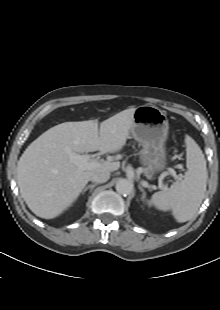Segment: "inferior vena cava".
I'll use <instances>...</instances> for the list:
<instances>
[{
    "label": "inferior vena cava",
    "mask_w": 220,
    "mask_h": 310,
    "mask_svg": "<svg viewBox=\"0 0 220 310\" xmlns=\"http://www.w3.org/2000/svg\"><path fill=\"white\" fill-rule=\"evenodd\" d=\"M109 178H110V172L101 171V172L92 174L90 177V181L95 182V183H104L108 181Z\"/></svg>",
    "instance_id": "obj_1"
}]
</instances>
